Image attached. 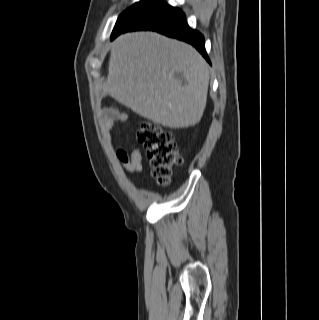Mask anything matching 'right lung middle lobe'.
Masks as SVG:
<instances>
[{
  "label": "right lung middle lobe",
  "instance_id": "1",
  "mask_svg": "<svg viewBox=\"0 0 319 320\" xmlns=\"http://www.w3.org/2000/svg\"><path fill=\"white\" fill-rule=\"evenodd\" d=\"M171 6L162 1L143 0L133 4L119 17L114 30L131 28L150 16L169 9Z\"/></svg>",
  "mask_w": 319,
  "mask_h": 320
}]
</instances>
